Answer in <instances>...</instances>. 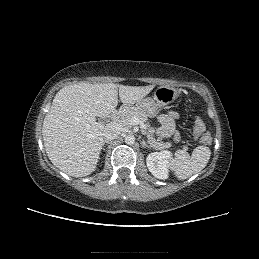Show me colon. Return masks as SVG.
Wrapping results in <instances>:
<instances>
[{
  "label": "colon",
  "mask_w": 259,
  "mask_h": 259,
  "mask_svg": "<svg viewBox=\"0 0 259 259\" xmlns=\"http://www.w3.org/2000/svg\"><path fill=\"white\" fill-rule=\"evenodd\" d=\"M194 133L200 138V141L205 146H210L212 139L210 134L206 131L203 121L197 118L194 122Z\"/></svg>",
  "instance_id": "colon-1"
}]
</instances>
